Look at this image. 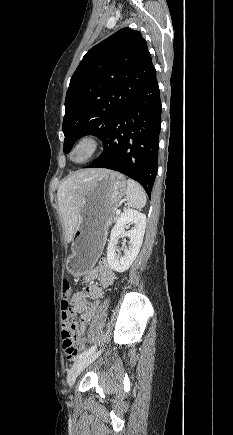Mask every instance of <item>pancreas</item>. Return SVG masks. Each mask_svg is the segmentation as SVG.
<instances>
[{"instance_id":"pancreas-1","label":"pancreas","mask_w":233,"mask_h":435,"mask_svg":"<svg viewBox=\"0 0 233 435\" xmlns=\"http://www.w3.org/2000/svg\"><path fill=\"white\" fill-rule=\"evenodd\" d=\"M118 217H119L118 214L114 215V217H113V221H116V220L118 219Z\"/></svg>"}]
</instances>
